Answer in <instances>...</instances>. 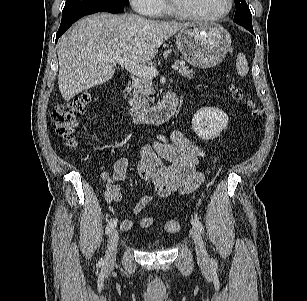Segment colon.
Here are the masks:
<instances>
[{"mask_svg":"<svg viewBox=\"0 0 307 301\" xmlns=\"http://www.w3.org/2000/svg\"><path fill=\"white\" fill-rule=\"evenodd\" d=\"M232 96L236 100H244L243 90L233 85L231 87ZM91 101L89 93H82L79 96L56 105L52 112V121L57 129L58 134L66 141L68 145H73L75 140V132L78 124V117L85 111ZM252 110L254 117L261 115V110L252 102L247 101ZM154 220L152 217H144L141 220L142 228H149L152 226ZM163 228L170 233L179 232L181 225L177 220H167Z\"/></svg>","mask_w":307,"mask_h":301,"instance_id":"1","label":"colon"}]
</instances>
